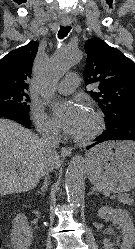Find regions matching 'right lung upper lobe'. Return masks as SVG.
<instances>
[{
	"label": "right lung upper lobe",
	"mask_w": 135,
	"mask_h": 249,
	"mask_svg": "<svg viewBox=\"0 0 135 249\" xmlns=\"http://www.w3.org/2000/svg\"><path fill=\"white\" fill-rule=\"evenodd\" d=\"M38 42L12 50L0 60V91H26Z\"/></svg>",
	"instance_id": "cb5924a9"
}]
</instances>
